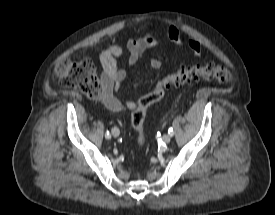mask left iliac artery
<instances>
[{"instance_id":"1","label":"left iliac artery","mask_w":275,"mask_h":215,"mask_svg":"<svg viewBox=\"0 0 275 215\" xmlns=\"http://www.w3.org/2000/svg\"><path fill=\"white\" fill-rule=\"evenodd\" d=\"M168 134H169L170 136H173V135H174L173 128H169V129H168Z\"/></svg>"}]
</instances>
